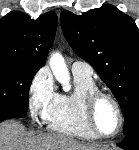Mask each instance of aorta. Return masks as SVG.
Listing matches in <instances>:
<instances>
[{
  "label": "aorta",
  "mask_w": 139,
  "mask_h": 150,
  "mask_svg": "<svg viewBox=\"0 0 139 150\" xmlns=\"http://www.w3.org/2000/svg\"><path fill=\"white\" fill-rule=\"evenodd\" d=\"M50 67L55 78L64 85V89L68 88L69 73L65 61L59 53L52 54L50 58Z\"/></svg>",
  "instance_id": "obj_1"
}]
</instances>
